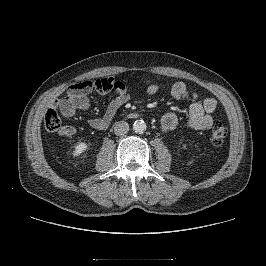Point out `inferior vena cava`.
<instances>
[{"mask_svg":"<svg viewBox=\"0 0 266 266\" xmlns=\"http://www.w3.org/2000/svg\"><path fill=\"white\" fill-rule=\"evenodd\" d=\"M129 131V124L125 121H119L114 124V133L116 135H124Z\"/></svg>","mask_w":266,"mask_h":266,"instance_id":"602c4592","label":"inferior vena cava"}]
</instances>
